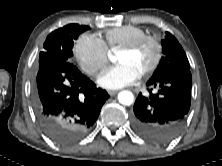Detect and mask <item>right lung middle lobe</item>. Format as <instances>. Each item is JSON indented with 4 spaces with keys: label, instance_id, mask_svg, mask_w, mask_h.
I'll return each instance as SVG.
<instances>
[{
    "label": "right lung middle lobe",
    "instance_id": "right-lung-middle-lobe-1",
    "mask_svg": "<svg viewBox=\"0 0 222 166\" xmlns=\"http://www.w3.org/2000/svg\"><path fill=\"white\" fill-rule=\"evenodd\" d=\"M88 29L85 25L69 24L49 34L39 54V68L57 62H70L74 41Z\"/></svg>",
    "mask_w": 222,
    "mask_h": 166
}]
</instances>
